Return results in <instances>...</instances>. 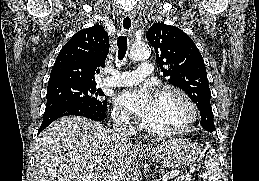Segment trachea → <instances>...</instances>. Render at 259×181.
<instances>
[{
	"instance_id": "3493384b",
	"label": "trachea",
	"mask_w": 259,
	"mask_h": 181,
	"mask_svg": "<svg viewBox=\"0 0 259 181\" xmlns=\"http://www.w3.org/2000/svg\"><path fill=\"white\" fill-rule=\"evenodd\" d=\"M127 36H119L117 40L118 46V60L122 61L125 58L126 51H127Z\"/></svg>"
}]
</instances>
